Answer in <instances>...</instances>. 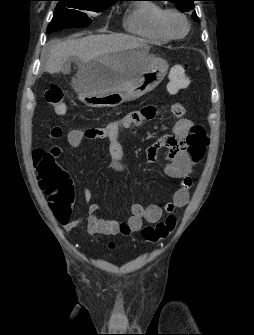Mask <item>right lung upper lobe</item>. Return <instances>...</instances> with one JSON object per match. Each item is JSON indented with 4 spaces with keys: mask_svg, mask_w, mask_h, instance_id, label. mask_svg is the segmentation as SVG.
Returning a JSON list of instances; mask_svg holds the SVG:
<instances>
[{
    "mask_svg": "<svg viewBox=\"0 0 254 335\" xmlns=\"http://www.w3.org/2000/svg\"><path fill=\"white\" fill-rule=\"evenodd\" d=\"M96 1H102V2H117V1H120V0H96Z\"/></svg>",
    "mask_w": 254,
    "mask_h": 335,
    "instance_id": "cb5924a9",
    "label": "right lung upper lobe"
}]
</instances>
